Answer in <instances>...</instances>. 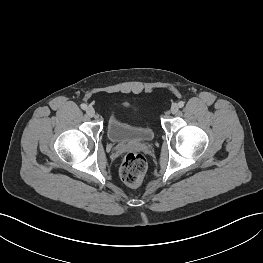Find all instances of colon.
<instances>
[{
  "instance_id": "obj_1",
  "label": "colon",
  "mask_w": 263,
  "mask_h": 263,
  "mask_svg": "<svg viewBox=\"0 0 263 263\" xmlns=\"http://www.w3.org/2000/svg\"><path fill=\"white\" fill-rule=\"evenodd\" d=\"M146 170L145 156L138 152H129L122 160L120 177L127 186L137 187L142 183Z\"/></svg>"
}]
</instances>
